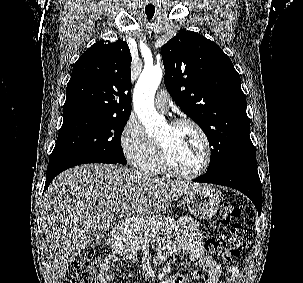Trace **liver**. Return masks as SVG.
Wrapping results in <instances>:
<instances>
[{
    "mask_svg": "<svg viewBox=\"0 0 303 283\" xmlns=\"http://www.w3.org/2000/svg\"><path fill=\"white\" fill-rule=\"evenodd\" d=\"M199 184L156 178L122 166L86 164L57 176L44 194L45 237L59 279L87 248L90 235L107 232L131 206L138 216L158 214Z\"/></svg>",
    "mask_w": 303,
    "mask_h": 283,
    "instance_id": "6515ba94",
    "label": "liver"
}]
</instances>
